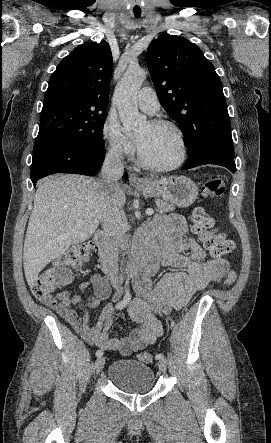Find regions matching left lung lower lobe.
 <instances>
[{
  "instance_id": "obj_1",
  "label": "left lung lower lobe",
  "mask_w": 271,
  "mask_h": 443,
  "mask_svg": "<svg viewBox=\"0 0 271 443\" xmlns=\"http://www.w3.org/2000/svg\"><path fill=\"white\" fill-rule=\"evenodd\" d=\"M188 155L189 158L181 168L182 170L204 164H216L228 168L232 173L236 171L233 142L210 140Z\"/></svg>"
}]
</instances>
